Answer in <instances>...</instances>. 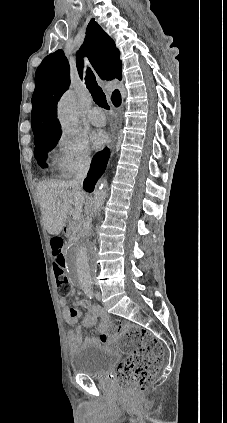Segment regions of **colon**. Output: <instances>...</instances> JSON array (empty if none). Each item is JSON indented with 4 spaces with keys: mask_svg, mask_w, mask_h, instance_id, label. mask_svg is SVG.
<instances>
[{
    "mask_svg": "<svg viewBox=\"0 0 227 423\" xmlns=\"http://www.w3.org/2000/svg\"><path fill=\"white\" fill-rule=\"evenodd\" d=\"M54 257L53 270L60 293H70L71 283L64 267L63 240L54 237L51 240ZM120 348L126 358L116 370V381L123 393L139 395L152 385L163 362L161 342L147 329L128 324L119 328Z\"/></svg>",
    "mask_w": 227,
    "mask_h": 423,
    "instance_id": "colon-1",
    "label": "colon"
}]
</instances>
